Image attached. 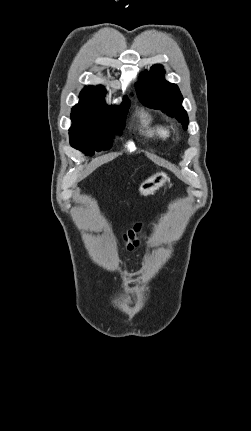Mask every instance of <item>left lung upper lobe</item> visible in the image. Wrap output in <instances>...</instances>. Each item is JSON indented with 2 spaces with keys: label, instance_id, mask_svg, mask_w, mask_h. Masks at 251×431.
<instances>
[{
  "label": "left lung upper lobe",
  "instance_id": "obj_1",
  "mask_svg": "<svg viewBox=\"0 0 251 431\" xmlns=\"http://www.w3.org/2000/svg\"><path fill=\"white\" fill-rule=\"evenodd\" d=\"M164 74L162 66L154 65L150 71L140 75V82L136 84L139 100L150 108L160 109L175 117L186 130L189 119L182 107V95L177 85L165 80Z\"/></svg>",
  "mask_w": 251,
  "mask_h": 431
}]
</instances>
